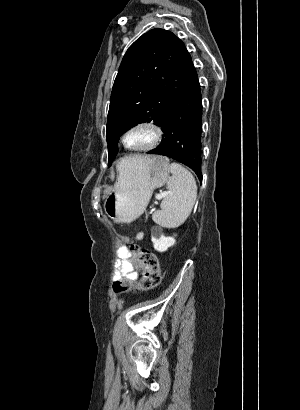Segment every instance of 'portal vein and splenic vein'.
Instances as JSON below:
<instances>
[{"label":"portal vein and splenic vein","mask_w":300,"mask_h":410,"mask_svg":"<svg viewBox=\"0 0 300 410\" xmlns=\"http://www.w3.org/2000/svg\"><path fill=\"white\" fill-rule=\"evenodd\" d=\"M167 194H168L167 192H163V193H161V194H156L155 197H156L157 200H160V199H162L163 197H165Z\"/></svg>","instance_id":"1"}]
</instances>
